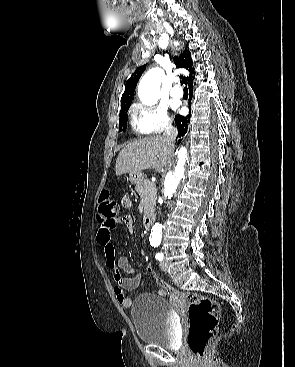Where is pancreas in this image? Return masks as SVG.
Returning a JSON list of instances; mask_svg holds the SVG:
<instances>
[{
	"instance_id": "1",
	"label": "pancreas",
	"mask_w": 295,
	"mask_h": 367,
	"mask_svg": "<svg viewBox=\"0 0 295 367\" xmlns=\"http://www.w3.org/2000/svg\"><path fill=\"white\" fill-rule=\"evenodd\" d=\"M136 191L140 197L143 199L144 214L154 210L156 205V188L155 184L150 182L148 179H143V181L136 185Z\"/></svg>"
}]
</instances>
